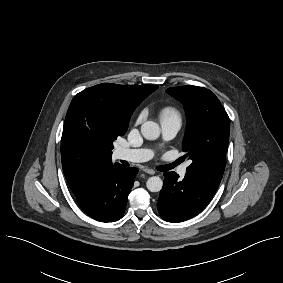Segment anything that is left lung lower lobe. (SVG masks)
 <instances>
[{"label": "left lung lower lobe", "instance_id": "left-lung-lower-lobe-1", "mask_svg": "<svg viewBox=\"0 0 283 283\" xmlns=\"http://www.w3.org/2000/svg\"><path fill=\"white\" fill-rule=\"evenodd\" d=\"M164 176L157 208L167 222H183L197 215L215 194L188 174L183 179L175 172H165Z\"/></svg>", "mask_w": 283, "mask_h": 283}]
</instances>
